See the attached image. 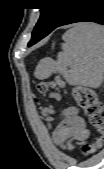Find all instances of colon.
<instances>
[{
  "mask_svg": "<svg viewBox=\"0 0 104 169\" xmlns=\"http://www.w3.org/2000/svg\"><path fill=\"white\" fill-rule=\"evenodd\" d=\"M63 83L58 82H39L36 89L39 93L43 94L49 91L51 88L56 90L63 89ZM72 94L77 105L84 111L85 115L88 117L90 124L96 129L99 134L104 133V111L97 94L86 87L76 86L72 89ZM52 98L55 100L60 99L58 93H54ZM101 145V138L97 137L94 139L92 144H86L82 148V152L85 155L90 154Z\"/></svg>",
  "mask_w": 104,
  "mask_h": 169,
  "instance_id": "obj_1",
  "label": "colon"
}]
</instances>
